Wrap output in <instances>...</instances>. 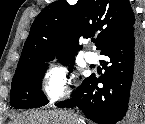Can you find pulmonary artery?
Returning a JSON list of instances; mask_svg holds the SVG:
<instances>
[{"label":"pulmonary artery","mask_w":145,"mask_h":124,"mask_svg":"<svg viewBox=\"0 0 145 124\" xmlns=\"http://www.w3.org/2000/svg\"><path fill=\"white\" fill-rule=\"evenodd\" d=\"M85 60L88 62V63H95L97 62V55L94 53V52H86L85 55Z\"/></svg>","instance_id":"e3ab8cb5"}]
</instances>
